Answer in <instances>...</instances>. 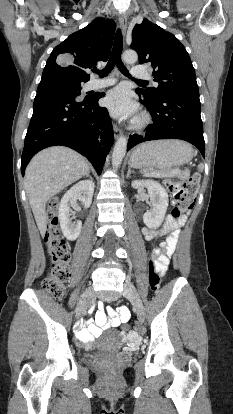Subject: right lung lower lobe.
Masks as SVG:
<instances>
[{"instance_id":"1","label":"right lung lower lobe","mask_w":233,"mask_h":414,"mask_svg":"<svg viewBox=\"0 0 233 414\" xmlns=\"http://www.w3.org/2000/svg\"><path fill=\"white\" fill-rule=\"evenodd\" d=\"M103 96L98 93L80 100L48 92L37 93L21 158L22 175L38 151L54 145L76 150L87 157L100 174L114 142L108 111L98 104Z\"/></svg>"}]
</instances>
